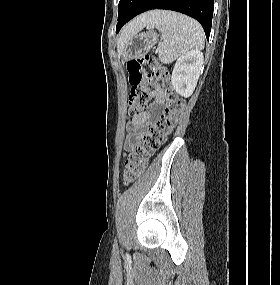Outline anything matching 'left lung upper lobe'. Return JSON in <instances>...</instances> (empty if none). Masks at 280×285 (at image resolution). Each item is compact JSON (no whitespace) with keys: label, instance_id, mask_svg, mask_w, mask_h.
Segmentation results:
<instances>
[{"label":"left lung upper lobe","instance_id":"5c2ea615","mask_svg":"<svg viewBox=\"0 0 280 285\" xmlns=\"http://www.w3.org/2000/svg\"><path fill=\"white\" fill-rule=\"evenodd\" d=\"M137 1L138 0H120L117 27L126 21Z\"/></svg>","mask_w":280,"mask_h":285}]
</instances>
